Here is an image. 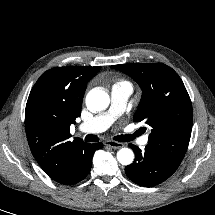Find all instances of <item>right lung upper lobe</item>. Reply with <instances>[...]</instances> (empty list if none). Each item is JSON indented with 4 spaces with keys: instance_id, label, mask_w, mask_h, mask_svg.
Listing matches in <instances>:
<instances>
[{
    "instance_id": "cb5924a9",
    "label": "right lung upper lobe",
    "mask_w": 215,
    "mask_h": 215,
    "mask_svg": "<svg viewBox=\"0 0 215 215\" xmlns=\"http://www.w3.org/2000/svg\"><path fill=\"white\" fill-rule=\"evenodd\" d=\"M100 66L55 67L33 86L25 110V129L34 158L58 183L68 184L77 157L88 143L71 137L70 125L80 116L87 82Z\"/></svg>"
}]
</instances>
